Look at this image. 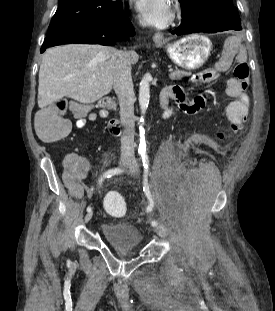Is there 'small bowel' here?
Returning a JSON list of instances; mask_svg holds the SVG:
<instances>
[{
	"label": "small bowel",
	"instance_id": "c3829d8e",
	"mask_svg": "<svg viewBox=\"0 0 275 311\" xmlns=\"http://www.w3.org/2000/svg\"><path fill=\"white\" fill-rule=\"evenodd\" d=\"M227 46L223 48V54L220 60H213L212 66L216 69H200V73L196 74V79L201 81H211L218 76L219 71H223L228 67L233 66V59L237 61L245 60V50L241 41L234 38H228ZM226 95L232 99L227 105L226 115L230 126H219L218 132H213V139L215 143H226L228 133H239L240 126L248 114L249 97L242 88L241 83L236 78L229 79L226 88ZM205 92H193L192 99H188L184 89L180 86H169L163 89L160 99L166 97L167 100L175 101L182 112L193 114L200 112L206 105L207 98ZM166 116L173 113L172 108L168 107V102L164 105ZM108 113L105 110L89 113L87 116L80 112V117L76 121L78 128H84L87 121H95L98 118H105ZM228 131V132H227ZM63 156L66 160L61 161V166L66 169H61L62 180H65L66 187L70 194L75 198H81L84 194V186L80 180H85L89 165L88 162L77 155L76 150H64Z\"/></svg>",
	"mask_w": 275,
	"mask_h": 311
}]
</instances>
